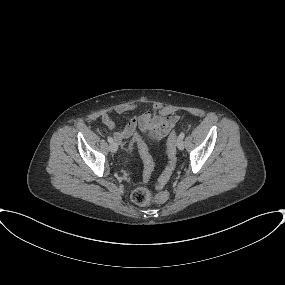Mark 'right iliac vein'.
<instances>
[{"label":"right iliac vein","instance_id":"63e3f726","mask_svg":"<svg viewBox=\"0 0 285 285\" xmlns=\"http://www.w3.org/2000/svg\"><path fill=\"white\" fill-rule=\"evenodd\" d=\"M109 149L112 153H116L118 150V144L115 142H112L109 146Z\"/></svg>","mask_w":285,"mask_h":285}]
</instances>
